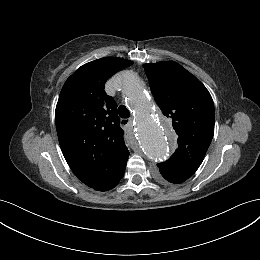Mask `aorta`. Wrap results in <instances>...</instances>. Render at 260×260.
<instances>
[{"mask_svg":"<svg viewBox=\"0 0 260 260\" xmlns=\"http://www.w3.org/2000/svg\"><path fill=\"white\" fill-rule=\"evenodd\" d=\"M122 93L136 114L137 139L146 156L153 162L166 160L174 143L172 131L159 120L143 82L135 73L128 72L122 77Z\"/></svg>","mask_w":260,"mask_h":260,"instance_id":"obj_1","label":"aorta"}]
</instances>
